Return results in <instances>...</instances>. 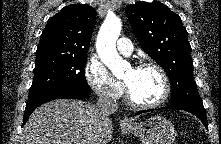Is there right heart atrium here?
Masks as SVG:
<instances>
[{
    "label": "right heart atrium",
    "instance_id": "obj_1",
    "mask_svg": "<svg viewBox=\"0 0 221 144\" xmlns=\"http://www.w3.org/2000/svg\"><path fill=\"white\" fill-rule=\"evenodd\" d=\"M89 87L102 99L118 100L124 93V84L116 79L96 57H91L84 69Z\"/></svg>",
    "mask_w": 221,
    "mask_h": 144
}]
</instances>
